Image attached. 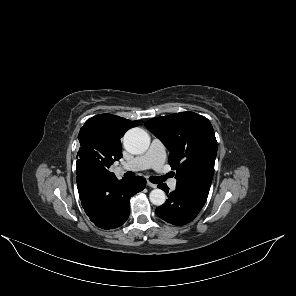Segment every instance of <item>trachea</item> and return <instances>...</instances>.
<instances>
[{
    "label": "trachea",
    "mask_w": 296,
    "mask_h": 296,
    "mask_svg": "<svg viewBox=\"0 0 296 296\" xmlns=\"http://www.w3.org/2000/svg\"><path fill=\"white\" fill-rule=\"evenodd\" d=\"M167 177H168V175H166V176H161V177H159V176H151V177L149 178V180H150L152 183H154V184H158V183L163 182Z\"/></svg>",
    "instance_id": "1"
}]
</instances>
